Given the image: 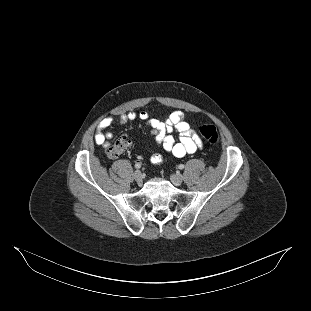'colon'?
<instances>
[{
	"label": "colon",
	"mask_w": 311,
	"mask_h": 311,
	"mask_svg": "<svg viewBox=\"0 0 311 311\" xmlns=\"http://www.w3.org/2000/svg\"><path fill=\"white\" fill-rule=\"evenodd\" d=\"M199 133L211 145H216L219 141V133L212 125H202ZM130 146V140L126 135L120 136L112 145L106 149V154L110 158H117L122 155Z\"/></svg>",
	"instance_id": "obj_1"
}]
</instances>
